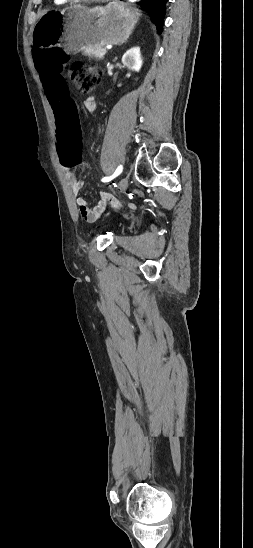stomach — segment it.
<instances>
[{
    "mask_svg": "<svg viewBox=\"0 0 253 548\" xmlns=\"http://www.w3.org/2000/svg\"><path fill=\"white\" fill-rule=\"evenodd\" d=\"M138 18L136 10L126 9L119 2L92 9L75 5L48 12L36 24L33 38L39 44L59 43L66 52L75 54L87 46L125 43Z\"/></svg>",
    "mask_w": 253,
    "mask_h": 548,
    "instance_id": "0dacf381",
    "label": "stomach"
}]
</instances>
